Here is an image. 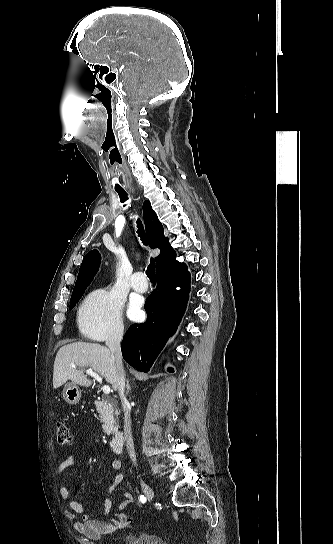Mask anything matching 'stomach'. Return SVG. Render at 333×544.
I'll use <instances>...</instances> for the list:
<instances>
[{
  "label": "stomach",
  "instance_id": "stomach-1",
  "mask_svg": "<svg viewBox=\"0 0 333 544\" xmlns=\"http://www.w3.org/2000/svg\"><path fill=\"white\" fill-rule=\"evenodd\" d=\"M81 398V390L74 383H67L63 389V399L71 405H76Z\"/></svg>",
  "mask_w": 333,
  "mask_h": 544
}]
</instances>
